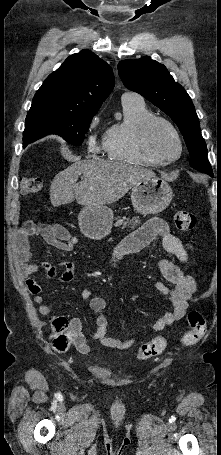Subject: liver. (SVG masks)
<instances>
[{
    "label": "liver",
    "instance_id": "1",
    "mask_svg": "<svg viewBox=\"0 0 221 455\" xmlns=\"http://www.w3.org/2000/svg\"><path fill=\"white\" fill-rule=\"evenodd\" d=\"M81 174L84 180L77 183ZM154 176L150 169L122 162L97 158L78 161L54 177L50 201L54 207L71 203L74 199L84 206L111 204L138 182Z\"/></svg>",
    "mask_w": 221,
    "mask_h": 455
}]
</instances>
